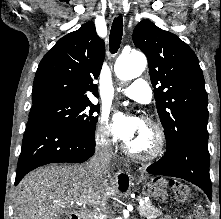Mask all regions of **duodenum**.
<instances>
[{
  "label": "duodenum",
  "instance_id": "1",
  "mask_svg": "<svg viewBox=\"0 0 221 219\" xmlns=\"http://www.w3.org/2000/svg\"><path fill=\"white\" fill-rule=\"evenodd\" d=\"M66 219H85L82 211H76L70 214Z\"/></svg>",
  "mask_w": 221,
  "mask_h": 219
}]
</instances>
